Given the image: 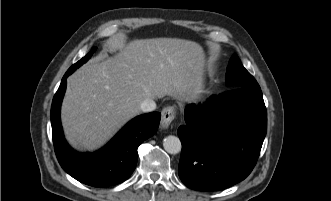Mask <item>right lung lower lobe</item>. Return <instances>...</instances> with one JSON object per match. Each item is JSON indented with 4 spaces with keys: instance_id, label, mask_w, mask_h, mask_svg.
Here are the masks:
<instances>
[{
    "instance_id": "98d812e1",
    "label": "right lung lower lobe",
    "mask_w": 331,
    "mask_h": 201,
    "mask_svg": "<svg viewBox=\"0 0 331 201\" xmlns=\"http://www.w3.org/2000/svg\"><path fill=\"white\" fill-rule=\"evenodd\" d=\"M66 72L51 106V124L55 153L61 167L76 180L94 187L125 181L134 171L138 146L157 131L161 114L151 112L127 123L116 136L95 153H78L64 139L60 107L66 90Z\"/></svg>"
}]
</instances>
